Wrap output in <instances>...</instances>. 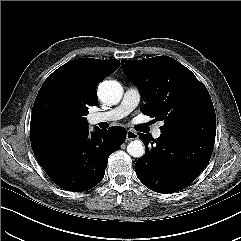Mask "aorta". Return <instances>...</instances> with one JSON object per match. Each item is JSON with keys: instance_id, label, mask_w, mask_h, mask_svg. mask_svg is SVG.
Instances as JSON below:
<instances>
[{"instance_id": "aorta-1", "label": "aorta", "mask_w": 241, "mask_h": 241, "mask_svg": "<svg viewBox=\"0 0 241 241\" xmlns=\"http://www.w3.org/2000/svg\"><path fill=\"white\" fill-rule=\"evenodd\" d=\"M123 89L120 83L113 80H106L100 83L98 95L104 103L117 104L122 98ZM127 152L130 156L140 158L145 153V147L140 140L131 141L127 146Z\"/></svg>"}]
</instances>
